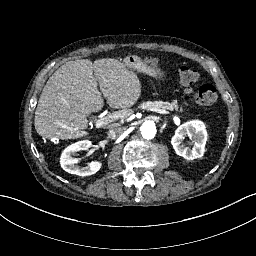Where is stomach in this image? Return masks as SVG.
Segmentation results:
<instances>
[{"mask_svg":"<svg viewBox=\"0 0 256 256\" xmlns=\"http://www.w3.org/2000/svg\"><path fill=\"white\" fill-rule=\"evenodd\" d=\"M156 77L161 81V85H163L166 81L165 72L162 70H156Z\"/></svg>","mask_w":256,"mask_h":256,"instance_id":"stomach-1","label":"stomach"}]
</instances>
